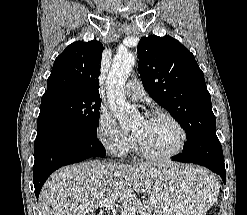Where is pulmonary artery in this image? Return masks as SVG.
I'll return each instance as SVG.
<instances>
[{
    "label": "pulmonary artery",
    "mask_w": 247,
    "mask_h": 215,
    "mask_svg": "<svg viewBox=\"0 0 247 215\" xmlns=\"http://www.w3.org/2000/svg\"><path fill=\"white\" fill-rule=\"evenodd\" d=\"M125 92L133 101H141L146 95L141 82L136 78H132L126 83Z\"/></svg>",
    "instance_id": "obj_1"
}]
</instances>
